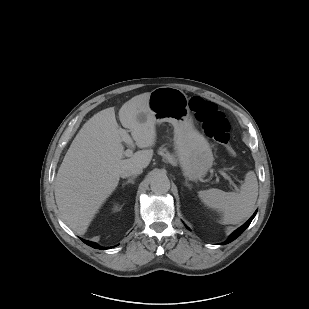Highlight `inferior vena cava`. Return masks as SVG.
Returning <instances> with one entry per match:
<instances>
[{"mask_svg":"<svg viewBox=\"0 0 309 309\" xmlns=\"http://www.w3.org/2000/svg\"><path fill=\"white\" fill-rule=\"evenodd\" d=\"M142 172H143V168L142 167L134 166V167H131V168H128V169L124 170L121 173V177L125 178V177H129V176H132V175H139Z\"/></svg>","mask_w":309,"mask_h":309,"instance_id":"obj_1","label":"inferior vena cava"}]
</instances>
